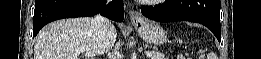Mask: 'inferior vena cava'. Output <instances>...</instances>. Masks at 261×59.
Wrapping results in <instances>:
<instances>
[{"label": "inferior vena cava", "instance_id": "inferior-vena-cava-1", "mask_svg": "<svg viewBox=\"0 0 261 59\" xmlns=\"http://www.w3.org/2000/svg\"><path fill=\"white\" fill-rule=\"evenodd\" d=\"M91 26L92 29L96 32L98 38L101 41H105L110 27L109 20L101 15H97L92 18Z\"/></svg>", "mask_w": 261, "mask_h": 59}]
</instances>
